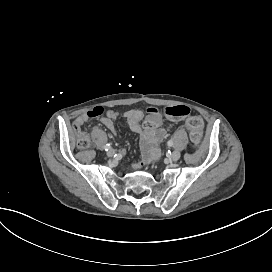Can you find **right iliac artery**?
Masks as SVG:
<instances>
[{"label": "right iliac artery", "instance_id": "82829eb1", "mask_svg": "<svg viewBox=\"0 0 272 272\" xmlns=\"http://www.w3.org/2000/svg\"><path fill=\"white\" fill-rule=\"evenodd\" d=\"M105 151H108L111 149V145L110 144H106V146L104 147Z\"/></svg>", "mask_w": 272, "mask_h": 272}]
</instances>
